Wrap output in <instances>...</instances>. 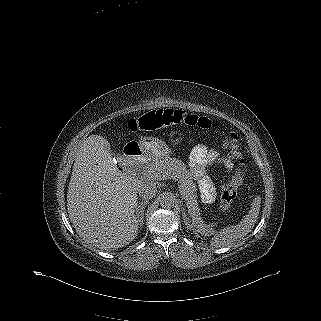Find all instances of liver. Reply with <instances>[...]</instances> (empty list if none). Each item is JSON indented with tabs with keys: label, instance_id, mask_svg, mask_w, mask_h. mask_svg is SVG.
Masks as SVG:
<instances>
[{
	"label": "liver",
	"instance_id": "1",
	"mask_svg": "<svg viewBox=\"0 0 321 321\" xmlns=\"http://www.w3.org/2000/svg\"><path fill=\"white\" fill-rule=\"evenodd\" d=\"M124 158L119 162L124 165ZM143 179L121 172L100 135L80 146L68 186L67 210L76 232L103 250H116L138 234L137 192Z\"/></svg>",
	"mask_w": 321,
	"mask_h": 321
}]
</instances>
